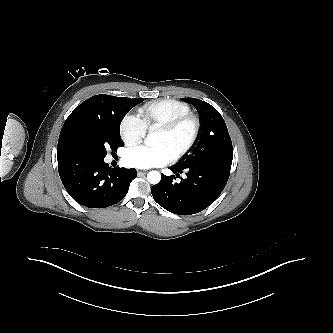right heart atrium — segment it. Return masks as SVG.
<instances>
[{
	"instance_id": "d8ad5b80",
	"label": "right heart atrium",
	"mask_w": 333,
	"mask_h": 333,
	"mask_svg": "<svg viewBox=\"0 0 333 333\" xmlns=\"http://www.w3.org/2000/svg\"><path fill=\"white\" fill-rule=\"evenodd\" d=\"M146 127L139 116L128 113L126 114L119 125V133L128 146L135 145L142 141L146 135Z\"/></svg>"
}]
</instances>
